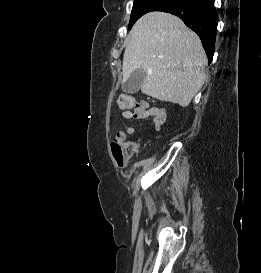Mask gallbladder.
<instances>
[{
    "mask_svg": "<svg viewBox=\"0 0 261 273\" xmlns=\"http://www.w3.org/2000/svg\"><path fill=\"white\" fill-rule=\"evenodd\" d=\"M146 72L142 69L134 70L126 82L122 85V90L128 94H135L140 90V87L146 79Z\"/></svg>",
    "mask_w": 261,
    "mask_h": 273,
    "instance_id": "1",
    "label": "gallbladder"
}]
</instances>
